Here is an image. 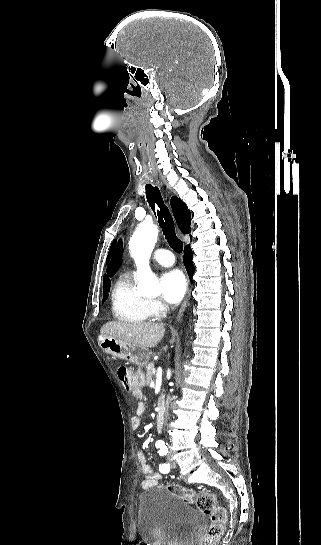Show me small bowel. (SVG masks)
I'll return each instance as SVG.
<instances>
[{
	"mask_svg": "<svg viewBox=\"0 0 321 545\" xmlns=\"http://www.w3.org/2000/svg\"><path fill=\"white\" fill-rule=\"evenodd\" d=\"M141 382H142L141 377L139 375L136 376V378L134 379L135 389H134V392H133L135 396L140 395ZM145 410H146L145 404L142 401H139L138 404H137L136 415L132 418V426H133L134 429L139 428V426L141 424V417L145 413ZM138 460L140 462L141 471H142V474L144 476V480L142 482V487L144 489H148V488H151V487L158 486L159 483H160V479L162 477V474L160 472H158V471H154L150 467V465L147 462L146 456L141 451L138 452Z\"/></svg>",
	"mask_w": 321,
	"mask_h": 545,
	"instance_id": "obj_1",
	"label": "small bowel"
}]
</instances>
